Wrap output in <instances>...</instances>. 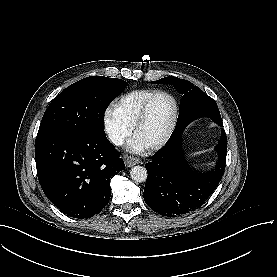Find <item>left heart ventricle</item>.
<instances>
[{
  "instance_id": "1",
  "label": "left heart ventricle",
  "mask_w": 277,
  "mask_h": 277,
  "mask_svg": "<svg viewBox=\"0 0 277 277\" xmlns=\"http://www.w3.org/2000/svg\"><path fill=\"white\" fill-rule=\"evenodd\" d=\"M173 102L165 96H157L150 103L146 115L138 130V139L144 144L159 141L168 130Z\"/></svg>"
}]
</instances>
